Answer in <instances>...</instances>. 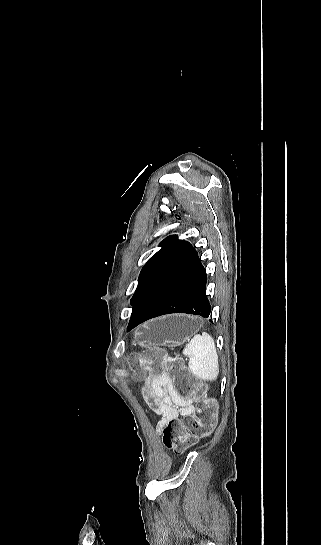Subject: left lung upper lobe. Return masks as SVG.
<instances>
[{
  "label": "left lung upper lobe",
  "instance_id": "5c2ea615",
  "mask_svg": "<svg viewBox=\"0 0 321 545\" xmlns=\"http://www.w3.org/2000/svg\"><path fill=\"white\" fill-rule=\"evenodd\" d=\"M176 242L177 236H169L168 238H166L160 244L162 248L158 252H156L145 264L138 279L137 289L131 299L132 305L135 303L136 299L138 298L139 294L148 283L150 278L154 275V273L160 268L165 259L168 257Z\"/></svg>",
  "mask_w": 321,
  "mask_h": 545
}]
</instances>
